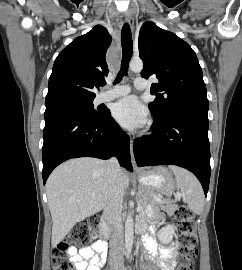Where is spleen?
Wrapping results in <instances>:
<instances>
[{"label": "spleen", "mask_w": 242, "mask_h": 270, "mask_svg": "<svg viewBox=\"0 0 242 270\" xmlns=\"http://www.w3.org/2000/svg\"><path fill=\"white\" fill-rule=\"evenodd\" d=\"M170 169L175 174L176 186L181 191L180 197L194 213L200 214L204 208V193L199 181L192 173L183 168L170 166ZM176 197L180 199V197Z\"/></svg>", "instance_id": "spleen-1"}]
</instances>
